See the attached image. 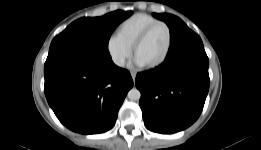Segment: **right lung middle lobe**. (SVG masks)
Returning <instances> with one entry per match:
<instances>
[{"mask_svg": "<svg viewBox=\"0 0 261 150\" xmlns=\"http://www.w3.org/2000/svg\"><path fill=\"white\" fill-rule=\"evenodd\" d=\"M131 14V11L117 10L102 17L80 18L53 39L48 55L73 52L109 56L108 42L112 32Z\"/></svg>", "mask_w": 261, "mask_h": 150, "instance_id": "1", "label": "right lung middle lobe"}]
</instances>
